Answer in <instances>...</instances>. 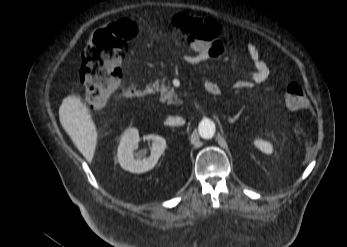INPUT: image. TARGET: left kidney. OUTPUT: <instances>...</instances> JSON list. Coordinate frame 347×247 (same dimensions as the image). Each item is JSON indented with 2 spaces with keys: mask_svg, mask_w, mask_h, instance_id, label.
<instances>
[{
  "mask_svg": "<svg viewBox=\"0 0 347 247\" xmlns=\"http://www.w3.org/2000/svg\"><path fill=\"white\" fill-rule=\"evenodd\" d=\"M254 145L266 154H271L273 152V147L268 141L256 139Z\"/></svg>",
  "mask_w": 347,
  "mask_h": 247,
  "instance_id": "1",
  "label": "left kidney"
}]
</instances>
